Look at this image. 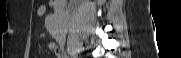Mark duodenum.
I'll list each match as a JSON object with an SVG mask.
<instances>
[{"label": "duodenum", "mask_w": 181, "mask_h": 58, "mask_svg": "<svg viewBox=\"0 0 181 58\" xmlns=\"http://www.w3.org/2000/svg\"><path fill=\"white\" fill-rule=\"evenodd\" d=\"M78 1L77 0H73L71 3L73 5H75ZM66 0H55L54 1V5L57 11L61 12L64 11L65 7H66Z\"/></svg>", "instance_id": "410a0bca"}]
</instances>
